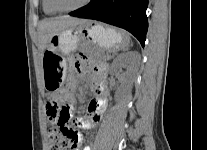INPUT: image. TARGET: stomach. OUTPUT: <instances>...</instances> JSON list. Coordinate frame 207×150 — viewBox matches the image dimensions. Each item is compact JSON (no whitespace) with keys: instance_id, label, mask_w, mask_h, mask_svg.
<instances>
[{"instance_id":"0dacf381","label":"stomach","mask_w":207,"mask_h":150,"mask_svg":"<svg viewBox=\"0 0 207 150\" xmlns=\"http://www.w3.org/2000/svg\"><path fill=\"white\" fill-rule=\"evenodd\" d=\"M86 43V52L96 61H105L108 52H116L129 44V36L102 24L86 22L54 34L43 52L44 82L47 89L62 86L66 75V58Z\"/></svg>"}]
</instances>
